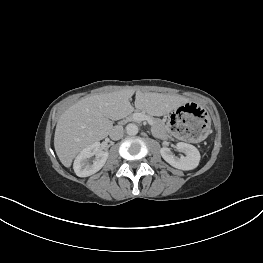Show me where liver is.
<instances>
[{
    "instance_id": "liver-1",
    "label": "liver",
    "mask_w": 263,
    "mask_h": 263,
    "mask_svg": "<svg viewBox=\"0 0 263 263\" xmlns=\"http://www.w3.org/2000/svg\"><path fill=\"white\" fill-rule=\"evenodd\" d=\"M135 93V108L154 116H162L186 103L180 95L134 91H119L86 96L70 106L58 119L54 147L65 167H70L76 155L87 146L102 140L113 128L112 120L130 114L134 107L129 99Z\"/></svg>"
}]
</instances>
